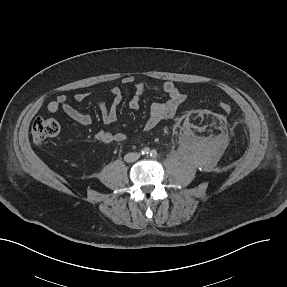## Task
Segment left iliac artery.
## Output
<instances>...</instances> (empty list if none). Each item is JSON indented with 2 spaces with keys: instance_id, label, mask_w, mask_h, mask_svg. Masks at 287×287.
Returning a JSON list of instances; mask_svg holds the SVG:
<instances>
[{
  "instance_id": "44dca946",
  "label": "left iliac artery",
  "mask_w": 287,
  "mask_h": 287,
  "mask_svg": "<svg viewBox=\"0 0 287 287\" xmlns=\"http://www.w3.org/2000/svg\"><path fill=\"white\" fill-rule=\"evenodd\" d=\"M150 156H151L152 158H156V157H157V151L153 149V150L150 152Z\"/></svg>"
}]
</instances>
